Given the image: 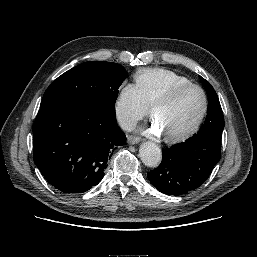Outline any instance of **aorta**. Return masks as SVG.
Returning <instances> with one entry per match:
<instances>
[{
  "mask_svg": "<svg viewBox=\"0 0 257 257\" xmlns=\"http://www.w3.org/2000/svg\"><path fill=\"white\" fill-rule=\"evenodd\" d=\"M139 155L147 167H157L162 159L160 148L152 142L143 143L139 149Z\"/></svg>",
  "mask_w": 257,
  "mask_h": 257,
  "instance_id": "aorta-1",
  "label": "aorta"
}]
</instances>
